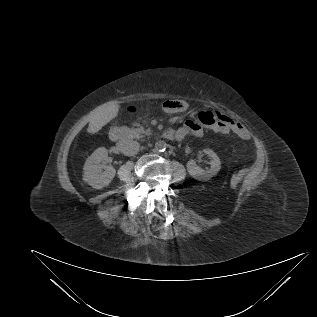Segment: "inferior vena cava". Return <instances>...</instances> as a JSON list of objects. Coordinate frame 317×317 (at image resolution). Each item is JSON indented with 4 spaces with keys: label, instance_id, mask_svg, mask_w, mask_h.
Wrapping results in <instances>:
<instances>
[{
    "label": "inferior vena cava",
    "instance_id": "1",
    "mask_svg": "<svg viewBox=\"0 0 317 317\" xmlns=\"http://www.w3.org/2000/svg\"><path fill=\"white\" fill-rule=\"evenodd\" d=\"M117 147L120 152L126 156H133L139 151V143L132 139L126 138L122 139L117 143Z\"/></svg>",
    "mask_w": 317,
    "mask_h": 317
}]
</instances>
